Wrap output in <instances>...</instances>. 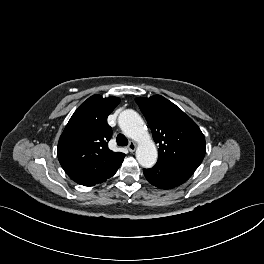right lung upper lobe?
<instances>
[{
	"mask_svg": "<svg viewBox=\"0 0 264 264\" xmlns=\"http://www.w3.org/2000/svg\"><path fill=\"white\" fill-rule=\"evenodd\" d=\"M119 102V98L113 96H91L74 112L61 134L58 159L76 183L91 182L124 159V153L108 148L112 129L107 117Z\"/></svg>",
	"mask_w": 264,
	"mask_h": 264,
	"instance_id": "right-lung-upper-lobe-1",
	"label": "right lung upper lobe"
}]
</instances>
